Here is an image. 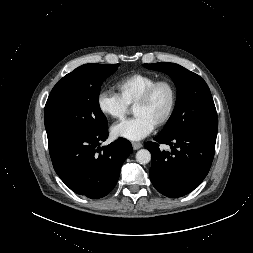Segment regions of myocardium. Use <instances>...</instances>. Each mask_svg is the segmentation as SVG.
Wrapping results in <instances>:
<instances>
[{"mask_svg":"<svg viewBox=\"0 0 253 253\" xmlns=\"http://www.w3.org/2000/svg\"><path fill=\"white\" fill-rule=\"evenodd\" d=\"M162 85H166L169 87L170 92H171V102L165 115L156 123L155 126L157 128L165 126L171 120V118L173 117L175 113L177 102H178V91L175 84L169 79L158 80L155 83H153L150 87H148L134 104V107L137 105L147 104L153 97L156 90Z\"/></svg>","mask_w":253,"mask_h":253,"instance_id":"obj_1","label":"myocardium"}]
</instances>
